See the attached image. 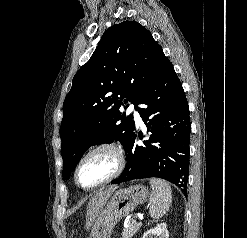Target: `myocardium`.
Instances as JSON below:
<instances>
[{
    "label": "myocardium",
    "instance_id": "obj_1",
    "mask_svg": "<svg viewBox=\"0 0 247 238\" xmlns=\"http://www.w3.org/2000/svg\"><path fill=\"white\" fill-rule=\"evenodd\" d=\"M101 151H107L110 152L116 160V167L113 171V173L108 176L107 178H105L104 180L91 185V186H84L79 182L78 179V172L79 169L81 167V165L83 164V162L89 158L90 156H92L95 153L101 152ZM126 166V157H125V153L123 151V149L117 145L114 142L111 141H102L99 142L97 144H95L94 146H92L91 148H89L77 161L75 167H74V171H73V179H74V183L81 189L83 190H93L96 189L98 187H101L105 184L110 183L111 181H113L114 179H116L124 170Z\"/></svg>",
    "mask_w": 247,
    "mask_h": 238
}]
</instances>
